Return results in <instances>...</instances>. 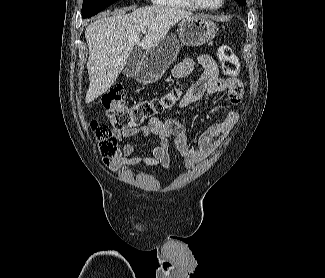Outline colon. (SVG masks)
Here are the masks:
<instances>
[{
    "mask_svg": "<svg viewBox=\"0 0 325 278\" xmlns=\"http://www.w3.org/2000/svg\"><path fill=\"white\" fill-rule=\"evenodd\" d=\"M223 72L227 77L235 78L240 73V61L233 49L226 44L217 52ZM181 96L179 89H172L164 95L138 102L134 105L126 103V90L122 86H113L101 97V104L106 110L108 119L114 129L139 127L147 120L155 118L171 108ZM91 129L99 142V149L104 156L114 155L116 139L112 129L103 123L93 121Z\"/></svg>",
    "mask_w": 325,
    "mask_h": 278,
    "instance_id": "1",
    "label": "colon"
}]
</instances>
